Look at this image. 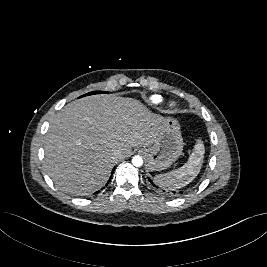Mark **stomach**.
Returning <instances> with one entry per match:
<instances>
[{
  "label": "stomach",
  "mask_w": 267,
  "mask_h": 267,
  "mask_svg": "<svg viewBox=\"0 0 267 267\" xmlns=\"http://www.w3.org/2000/svg\"><path fill=\"white\" fill-rule=\"evenodd\" d=\"M159 134L149 148L143 149L150 171H161L168 168L183 151V139L180 125L172 117L161 116Z\"/></svg>",
  "instance_id": "1"
}]
</instances>
